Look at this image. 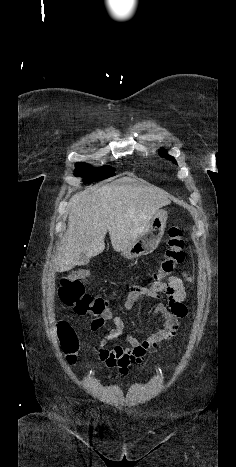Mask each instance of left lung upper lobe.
Here are the masks:
<instances>
[{"instance_id":"5c2ea615","label":"left lung upper lobe","mask_w":236,"mask_h":467,"mask_svg":"<svg viewBox=\"0 0 236 467\" xmlns=\"http://www.w3.org/2000/svg\"><path fill=\"white\" fill-rule=\"evenodd\" d=\"M160 155H161L162 157H165L166 159L172 160L174 163H176L175 159H174L172 156H170V155H168V154L166 153V150H161V151H160Z\"/></svg>"}]
</instances>
